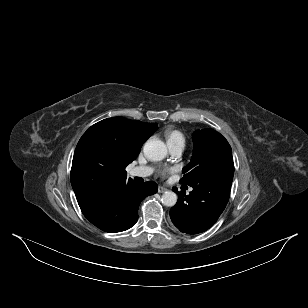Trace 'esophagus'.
I'll use <instances>...</instances> for the list:
<instances>
[{
  "instance_id": "34e87169",
  "label": "esophagus",
  "mask_w": 308,
  "mask_h": 308,
  "mask_svg": "<svg viewBox=\"0 0 308 308\" xmlns=\"http://www.w3.org/2000/svg\"><path fill=\"white\" fill-rule=\"evenodd\" d=\"M167 191V188H165V187H163V186H159L158 187V192L159 193H164V192H166Z\"/></svg>"
}]
</instances>
